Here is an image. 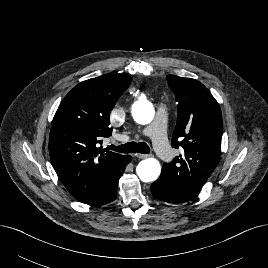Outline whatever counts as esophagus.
Listing matches in <instances>:
<instances>
[{"mask_svg":"<svg viewBox=\"0 0 268 268\" xmlns=\"http://www.w3.org/2000/svg\"><path fill=\"white\" fill-rule=\"evenodd\" d=\"M136 156L139 159H145V158H148L149 157L148 154H141V153H137Z\"/></svg>","mask_w":268,"mask_h":268,"instance_id":"esophagus-1","label":"esophagus"}]
</instances>
